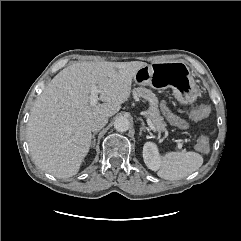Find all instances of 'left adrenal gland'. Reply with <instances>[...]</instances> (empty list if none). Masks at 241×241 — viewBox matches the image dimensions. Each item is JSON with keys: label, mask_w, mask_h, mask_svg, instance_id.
Listing matches in <instances>:
<instances>
[{"label": "left adrenal gland", "mask_w": 241, "mask_h": 241, "mask_svg": "<svg viewBox=\"0 0 241 241\" xmlns=\"http://www.w3.org/2000/svg\"><path fill=\"white\" fill-rule=\"evenodd\" d=\"M139 120L141 121V124H142V126L140 128L139 135H142V132L145 131V130H148V128L145 126V123L141 118Z\"/></svg>", "instance_id": "left-adrenal-gland-1"}]
</instances>
